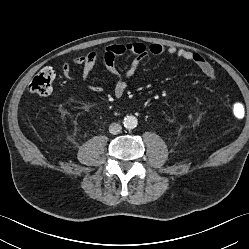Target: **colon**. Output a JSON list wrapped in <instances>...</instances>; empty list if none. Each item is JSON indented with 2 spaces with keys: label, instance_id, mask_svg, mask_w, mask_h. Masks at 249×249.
<instances>
[{
  "label": "colon",
  "instance_id": "colon-1",
  "mask_svg": "<svg viewBox=\"0 0 249 249\" xmlns=\"http://www.w3.org/2000/svg\"><path fill=\"white\" fill-rule=\"evenodd\" d=\"M55 75H56L55 70L53 68L51 67L43 68L32 79L29 85L30 92L39 96L49 95L52 91ZM243 112H244L243 105L239 102H235L232 106L233 115L236 118H239L241 117Z\"/></svg>",
  "mask_w": 249,
  "mask_h": 249
}]
</instances>
